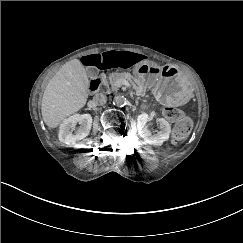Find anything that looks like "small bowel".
Returning <instances> with one entry per match:
<instances>
[{"label": "small bowel", "mask_w": 243, "mask_h": 243, "mask_svg": "<svg viewBox=\"0 0 243 243\" xmlns=\"http://www.w3.org/2000/svg\"><path fill=\"white\" fill-rule=\"evenodd\" d=\"M143 60L139 53L128 50H109L93 53L82 58V63L93 69L100 68H131Z\"/></svg>", "instance_id": "small-bowel-1"}]
</instances>
